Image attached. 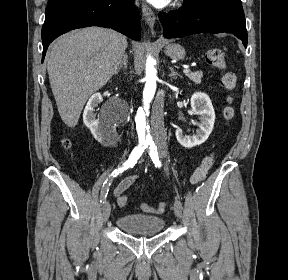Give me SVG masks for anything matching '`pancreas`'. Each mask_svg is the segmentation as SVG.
<instances>
[{
  "mask_svg": "<svg viewBox=\"0 0 288 280\" xmlns=\"http://www.w3.org/2000/svg\"><path fill=\"white\" fill-rule=\"evenodd\" d=\"M202 75H203V73L201 71H196V72H192V73L187 74L189 79L192 80L196 84L201 83Z\"/></svg>",
  "mask_w": 288,
  "mask_h": 280,
  "instance_id": "pancreas-1",
  "label": "pancreas"
}]
</instances>
